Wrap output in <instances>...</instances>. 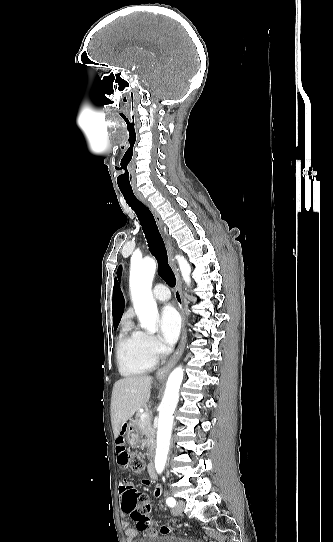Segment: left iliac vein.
I'll return each instance as SVG.
<instances>
[{"instance_id": "left-iliac-vein-1", "label": "left iliac vein", "mask_w": 333, "mask_h": 542, "mask_svg": "<svg viewBox=\"0 0 333 542\" xmlns=\"http://www.w3.org/2000/svg\"><path fill=\"white\" fill-rule=\"evenodd\" d=\"M184 507H185L184 501L183 500H178L175 507H174V509L172 510V513L174 515H179V514L182 513Z\"/></svg>"}]
</instances>
